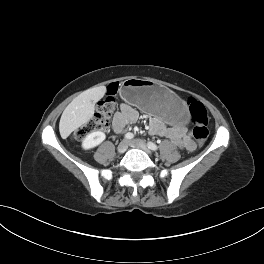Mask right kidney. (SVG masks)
I'll list each match as a JSON object with an SVG mask.
<instances>
[{"label":"right kidney","mask_w":264,"mask_h":264,"mask_svg":"<svg viewBox=\"0 0 264 264\" xmlns=\"http://www.w3.org/2000/svg\"><path fill=\"white\" fill-rule=\"evenodd\" d=\"M106 138L105 133L96 131L88 134L82 141V148L84 150L92 149L101 144Z\"/></svg>","instance_id":"ca27d5eb"}]
</instances>
